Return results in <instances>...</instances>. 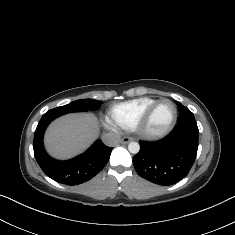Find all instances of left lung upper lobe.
<instances>
[{
  "mask_svg": "<svg viewBox=\"0 0 235 235\" xmlns=\"http://www.w3.org/2000/svg\"><path fill=\"white\" fill-rule=\"evenodd\" d=\"M176 104L179 109V119L175 128L188 127L198 129L193 113L181 103L176 101Z\"/></svg>",
  "mask_w": 235,
  "mask_h": 235,
  "instance_id": "obj_1",
  "label": "left lung upper lobe"
}]
</instances>
